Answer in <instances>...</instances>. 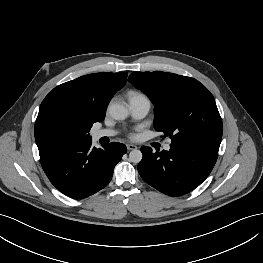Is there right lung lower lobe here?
Listing matches in <instances>:
<instances>
[{"instance_id": "right-lung-lower-lobe-1", "label": "right lung lower lobe", "mask_w": 263, "mask_h": 263, "mask_svg": "<svg viewBox=\"0 0 263 263\" xmlns=\"http://www.w3.org/2000/svg\"><path fill=\"white\" fill-rule=\"evenodd\" d=\"M91 145V140L75 144L41 163L51 183L71 198H86L103 189L127 151L124 144L116 142L103 149Z\"/></svg>"}]
</instances>
